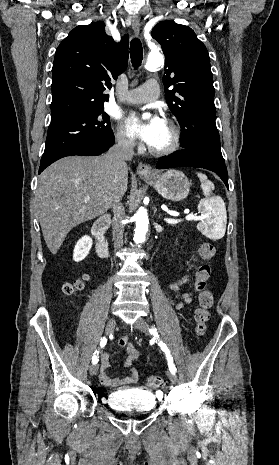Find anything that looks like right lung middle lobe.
<instances>
[{
	"instance_id": "1",
	"label": "right lung middle lobe",
	"mask_w": 279,
	"mask_h": 465,
	"mask_svg": "<svg viewBox=\"0 0 279 465\" xmlns=\"http://www.w3.org/2000/svg\"><path fill=\"white\" fill-rule=\"evenodd\" d=\"M98 107L50 124L41 164L81 143H104L114 138L109 116Z\"/></svg>"
}]
</instances>
